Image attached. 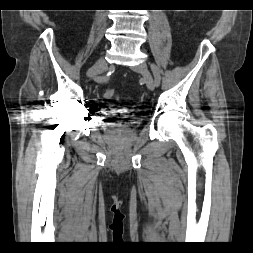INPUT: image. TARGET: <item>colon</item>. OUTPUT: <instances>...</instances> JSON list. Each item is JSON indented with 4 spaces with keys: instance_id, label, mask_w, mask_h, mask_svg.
<instances>
[{
    "instance_id": "5ec220e1",
    "label": "colon",
    "mask_w": 253,
    "mask_h": 253,
    "mask_svg": "<svg viewBox=\"0 0 253 253\" xmlns=\"http://www.w3.org/2000/svg\"><path fill=\"white\" fill-rule=\"evenodd\" d=\"M104 97L107 99H113L117 97L116 91L112 87H108L104 91Z\"/></svg>"
}]
</instances>
